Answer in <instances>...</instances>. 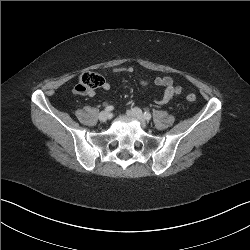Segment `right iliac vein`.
Listing matches in <instances>:
<instances>
[{
	"instance_id": "1",
	"label": "right iliac vein",
	"mask_w": 250,
	"mask_h": 250,
	"mask_svg": "<svg viewBox=\"0 0 250 250\" xmlns=\"http://www.w3.org/2000/svg\"><path fill=\"white\" fill-rule=\"evenodd\" d=\"M109 113L107 111H102L100 114H99V119L101 122H106L108 119H109Z\"/></svg>"
}]
</instances>
